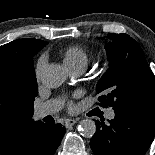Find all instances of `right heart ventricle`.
I'll return each instance as SVG.
<instances>
[{"instance_id": "1", "label": "right heart ventricle", "mask_w": 155, "mask_h": 155, "mask_svg": "<svg viewBox=\"0 0 155 155\" xmlns=\"http://www.w3.org/2000/svg\"><path fill=\"white\" fill-rule=\"evenodd\" d=\"M89 62V54L82 46H71L64 53V63L71 69L77 66L86 67Z\"/></svg>"}]
</instances>
